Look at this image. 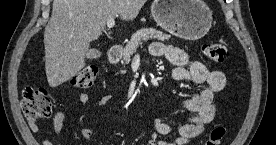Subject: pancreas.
<instances>
[{
	"label": "pancreas",
	"instance_id": "cf45deb5",
	"mask_svg": "<svg viewBox=\"0 0 276 145\" xmlns=\"http://www.w3.org/2000/svg\"><path fill=\"white\" fill-rule=\"evenodd\" d=\"M170 38V35L164 34L162 31L154 28H143L134 33L123 50L122 58L125 63H129L131 56L136 53L137 49L151 39H158L160 41H166Z\"/></svg>",
	"mask_w": 276,
	"mask_h": 145
}]
</instances>
